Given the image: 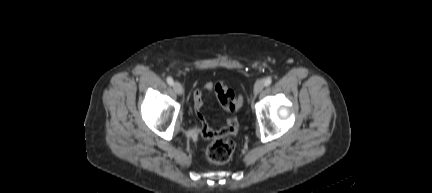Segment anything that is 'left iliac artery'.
Here are the masks:
<instances>
[{
  "label": "left iliac artery",
  "instance_id": "left-iliac-artery-1",
  "mask_svg": "<svg viewBox=\"0 0 432 193\" xmlns=\"http://www.w3.org/2000/svg\"><path fill=\"white\" fill-rule=\"evenodd\" d=\"M271 83H272V78L269 77L265 80V86L266 87L269 86Z\"/></svg>",
  "mask_w": 432,
  "mask_h": 193
}]
</instances>
